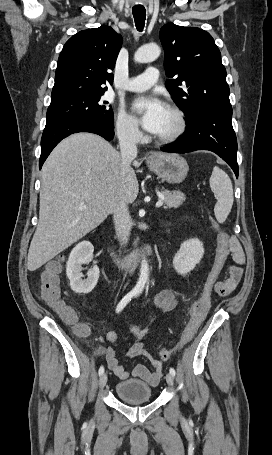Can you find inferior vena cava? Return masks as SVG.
Here are the masks:
<instances>
[{
  "instance_id": "obj_1",
  "label": "inferior vena cava",
  "mask_w": 272,
  "mask_h": 455,
  "mask_svg": "<svg viewBox=\"0 0 272 455\" xmlns=\"http://www.w3.org/2000/svg\"><path fill=\"white\" fill-rule=\"evenodd\" d=\"M119 146L122 158L121 173L124 176L125 172L130 167L131 161L137 156L136 137L133 131L124 130L118 134ZM115 231L121 244H127L130 236V215L126 202L120 200L113 211Z\"/></svg>"
}]
</instances>
